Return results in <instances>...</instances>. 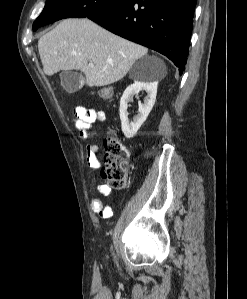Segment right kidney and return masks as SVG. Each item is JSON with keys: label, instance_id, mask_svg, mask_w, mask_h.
<instances>
[{"label": "right kidney", "instance_id": "ca27d5eb", "mask_svg": "<svg viewBox=\"0 0 247 299\" xmlns=\"http://www.w3.org/2000/svg\"><path fill=\"white\" fill-rule=\"evenodd\" d=\"M140 91H146L147 96L144 98V104L138 102V115L130 122L127 115L128 102L132 101L133 96L138 95ZM156 94V82H135L124 91L120 100L119 112L122 132L126 138L135 136L141 125L145 122L155 103Z\"/></svg>", "mask_w": 247, "mask_h": 299}]
</instances>
